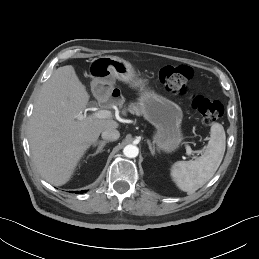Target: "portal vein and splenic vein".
Returning <instances> with one entry per match:
<instances>
[{"label":"portal vein and splenic vein","instance_id":"1","mask_svg":"<svg viewBox=\"0 0 259 259\" xmlns=\"http://www.w3.org/2000/svg\"><path fill=\"white\" fill-rule=\"evenodd\" d=\"M92 118L98 119H107L112 117V113L109 110H98L91 115ZM82 118V117H81ZM186 153L190 156L193 153V150L189 145H186ZM195 153H199V151H195Z\"/></svg>","mask_w":259,"mask_h":259}]
</instances>
